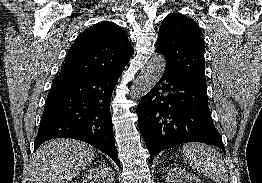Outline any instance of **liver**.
<instances>
[{"label": "liver", "instance_id": "liver-1", "mask_svg": "<svg viewBox=\"0 0 262 183\" xmlns=\"http://www.w3.org/2000/svg\"><path fill=\"white\" fill-rule=\"evenodd\" d=\"M94 158V149L75 139H52L42 144L30 163V183H69Z\"/></svg>", "mask_w": 262, "mask_h": 183}]
</instances>
